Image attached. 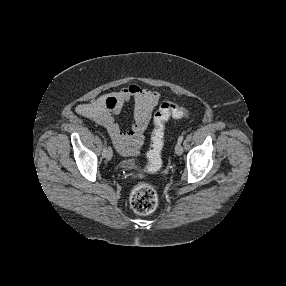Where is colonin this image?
Returning a JSON list of instances; mask_svg holds the SVG:
<instances>
[{"mask_svg": "<svg viewBox=\"0 0 286 286\" xmlns=\"http://www.w3.org/2000/svg\"><path fill=\"white\" fill-rule=\"evenodd\" d=\"M188 115V110L184 106L174 102L166 101L160 105L154 116L151 144L147 153L148 171L155 172L161 167L165 123L171 117L180 119ZM129 202L131 208L136 213L146 215L152 213L157 208L158 195L150 184L142 182L132 189Z\"/></svg>", "mask_w": 286, "mask_h": 286, "instance_id": "1", "label": "colon"}]
</instances>
